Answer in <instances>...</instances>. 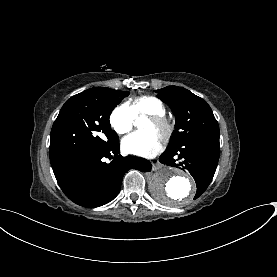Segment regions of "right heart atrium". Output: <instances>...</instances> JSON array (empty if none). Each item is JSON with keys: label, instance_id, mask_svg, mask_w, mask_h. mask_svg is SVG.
I'll use <instances>...</instances> for the list:
<instances>
[{"label": "right heart atrium", "instance_id": "1", "mask_svg": "<svg viewBox=\"0 0 277 277\" xmlns=\"http://www.w3.org/2000/svg\"><path fill=\"white\" fill-rule=\"evenodd\" d=\"M134 118L125 105L117 106L110 115V124L112 128L120 135L130 132L133 126Z\"/></svg>", "mask_w": 277, "mask_h": 277}]
</instances>
